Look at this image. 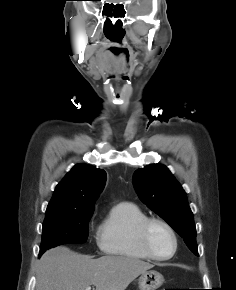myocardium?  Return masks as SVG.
<instances>
[{
  "instance_id": "obj_1",
  "label": "myocardium",
  "mask_w": 236,
  "mask_h": 290,
  "mask_svg": "<svg viewBox=\"0 0 236 290\" xmlns=\"http://www.w3.org/2000/svg\"><path fill=\"white\" fill-rule=\"evenodd\" d=\"M154 225H161L164 227L169 234L171 235L174 243L173 251L168 256H159L157 255L151 247L150 244V231ZM138 236L141 247L143 251L151 258L157 261H166L174 257L178 250V236L174 228L165 220L156 217H148L144 220L139 229H138Z\"/></svg>"
}]
</instances>
